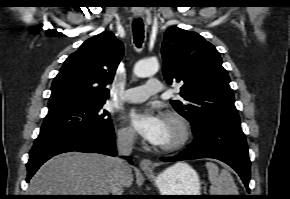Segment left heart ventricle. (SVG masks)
<instances>
[{"label": "left heart ventricle", "instance_id": "1", "mask_svg": "<svg viewBox=\"0 0 290 199\" xmlns=\"http://www.w3.org/2000/svg\"><path fill=\"white\" fill-rule=\"evenodd\" d=\"M179 135H180V132H179L178 127L173 122L165 118V126H164L163 135L158 145L165 146V145L172 144L179 138Z\"/></svg>", "mask_w": 290, "mask_h": 199}]
</instances>
